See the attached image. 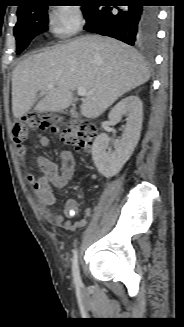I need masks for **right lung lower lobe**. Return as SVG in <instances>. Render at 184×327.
I'll return each instance as SVG.
<instances>
[{
  "instance_id": "right-lung-lower-lobe-1",
  "label": "right lung lower lobe",
  "mask_w": 184,
  "mask_h": 327,
  "mask_svg": "<svg viewBox=\"0 0 184 327\" xmlns=\"http://www.w3.org/2000/svg\"><path fill=\"white\" fill-rule=\"evenodd\" d=\"M129 6H94L85 17L84 29L119 39L129 45L151 46L157 34L158 11L143 7L142 0H129Z\"/></svg>"
}]
</instances>
